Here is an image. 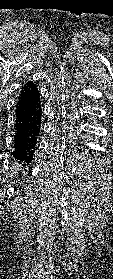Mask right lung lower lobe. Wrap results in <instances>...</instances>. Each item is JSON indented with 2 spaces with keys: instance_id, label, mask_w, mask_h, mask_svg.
I'll return each instance as SVG.
<instances>
[{
  "instance_id": "right-lung-lower-lobe-1",
  "label": "right lung lower lobe",
  "mask_w": 113,
  "mask_h": 279,
  "mask_svg": "<svg viewBox=\"0 0 113 279\" xmlns=\"http://www.w3.org/2000/svg\"><path fill=\"white\" fill-rule=\"evenodd\" d=\"M40 96L33 82L26 83L16 106L14 156L31 161L40 131L42 115Z\"/></svg>"
}]
</instances>
